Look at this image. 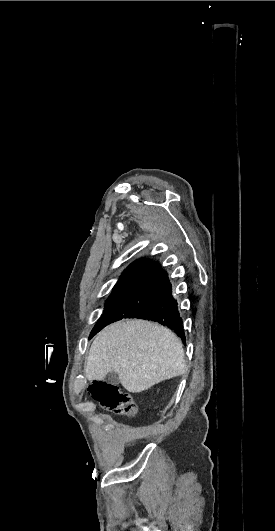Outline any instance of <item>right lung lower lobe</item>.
Masks as SVG:
<instances>
[{
    "label": "right lung lower lobe",
    "instance_id": "right-lung-lower-lobe-1",
    "mask_svg": "<svg viewBox=\"0 0 275 531\" xmlns=\"http://www.w3.org/2000/svg\"><path fill=\"white\" fill-rule=\"evenodd\" d=\"M171 290L167 272L158 262H154L110 308L97 332L121 319L140 318L156 321L169 327L185 343L183 321Z\"/></svg>",
    "mask_w": 275,
    "mask_h": 531
}]
</instances>
